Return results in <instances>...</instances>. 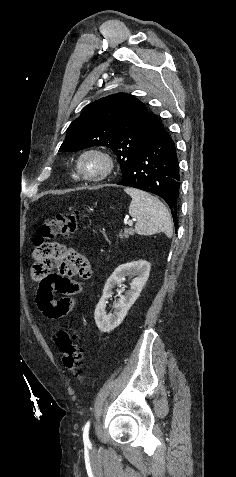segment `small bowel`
I'll use <instances>...</instances> for the list:
<instances>
[{
    "label": "small bowel",
    "mask_w": 236,
    "mask_h": 477,
    "mask_svg": "<svg viewBox=\"0 0 236 477\" xmlns=\"http://www.w3.org/2000/svg\"><path fill=\"white\" fill-rule=\"evenodd\" d=\"M50 246L58 252L42 261L38 270L44 274L35 276L33 267V277L39 283L36 293L38 310L45 318L56 321L73 313L78 296L84 290L81 282H73L69 278L79 276L89 279L92 276V267L90 274L82 273L84 263L90 265L83 255L64 244L51 242ZM53 268L56 269L55 272ZM55 293L60 295L58 300L54 299ZM73 317L76 318L77 315L73 314Z\"/></svg>",
    "instance_id": "1"
}]
</instances>
